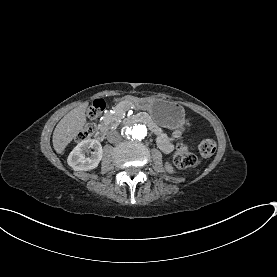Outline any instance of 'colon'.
I'll list each match as a JSON object with an SVG mask.
<instances>
[{
  "label": "colon",
  "mask_w": 277,
  "mask_h": 277,
  "mask_svg": "<svg viewBox=\"0 0 277 277\" xmlns=\"http://www.w3.org/2000/svg\"><path fill=\"white\" fill-rule=\"evenodd\" d=\"M106 103L103 99L95 100L87 109V116L90 120L87 121V127L80 133L81 138H87L89 133L97 131V119H99L104 112ZM199 151L204 157H210L215 151V144L211 140L203 141L199 145ZM175 164L181 169L194 167L197 163L196 156L190 151V148L181 143L176 148Z\"/></svg>",
  "instance_id": "5ec220e1"
}]
</instances>
